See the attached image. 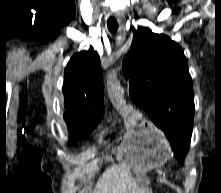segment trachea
Here are the masks:
<instances>
[{
    "label": "trachea",
    "instance_id": "1",
    "mask_svg": "<svg viewBox=\"0 0 221 193\" xmlns=\"http://www.w3.org/2000/svg\"><path fill=\"white\" fill-rule=\"evenodd\" d=\"M108 29L111 33H116L118 30V22L115 17H109Z\"/></svg>",
    "mask_w": 221,
    "mask_h": 193
}]
</instances>
